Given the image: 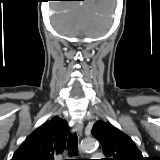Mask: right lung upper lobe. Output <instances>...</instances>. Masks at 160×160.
Returning a JSON list of instances; mask_svg holds the SVG:
<instances>
[{
  "label": "right lung upper lobe",
  "instance_id": "1",
  "mask_svg": "<svg viewBox=\"0 0 160 160\" xmlns=\"http://www.w3.org/2000/svg\"><path fill=\"white\" fill-rule=\"evenodd\" d=\"M67 132L68 125L65 120L52 118L26 138L12 160H54L65 148Z\"/></svg>",
  "mask_w": 160,
  "mask_h": 160
}]
</instances>
